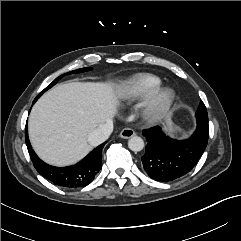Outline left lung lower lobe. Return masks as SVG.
I'll list each match as a JSON object with an SVG mask.
<instances>
[{"label":"left lung lower lobe","mask_w":241,"mask_h":241,"mask_svg":"<svg viewBox=\"0 0 241 241\" xmlns=\"http://www.w3.org/2000/svg\"><path fill=\"white\" fill-rule=\"evenodd\" d=\"M147 145L141 157L142 166L150 178L168 182L186 175L203 154L209 131L197 125L191 137L175 140L156 126L143 130Z\"/></svg>","instance_id":"obj_1"}]
</instances>
